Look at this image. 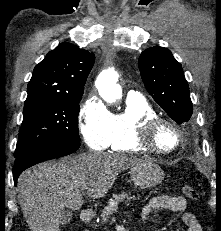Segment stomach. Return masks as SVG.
Wrapping results in <instances>:
<instances>
[{
  "label": "stomach",
  "instance_id": "0dacf381",
  "mask_svg": "<svg viewBox=\"0 0 221 231\" xmlns=\"http://www.w3.org/2000/svg\"><path fill=\"white\" fill-rule=\"evenodd\" d=\"M130 175L135 186L140 188L154 187L164 178V172L160 166L149 160L136 163L131 168Z\"/></svg>",
  "mask_w": 221,
  "mask_h": 231
}]
</instances>
